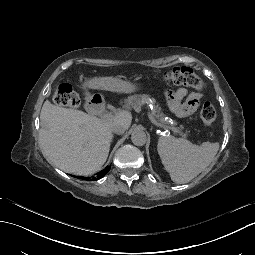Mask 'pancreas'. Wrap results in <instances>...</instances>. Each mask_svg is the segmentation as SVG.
<instances>
[{
	"mask_svg": "<svg viewBox=\"0 0 255 255\" xmlns=\"http://www.w3.org/2000/svg\"><path fill=\"white\" fill-rule=\"evenodd\" d=\"M149 99V96L146 94H135L129 96L127 99L124 100L123 108L130 109L131 107L134 108L136 111L140 110L141 106ZM153 116L162 124L166 123L164 121V114L160 112V108H155L152 111Z\"/></svg>",
	"mask_w": 255,
	"mask_h": 255,
	"instance_id": "cf45deb5",
	"label": "pancreas"
}]
</instances>
